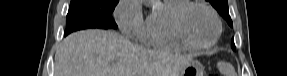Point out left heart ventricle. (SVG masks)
I'll list each match as a JSON object with an SVG mask.
<instances>
[{
	"instance_id": "obj_1",
	"label": "left heart ventricle",
	"mask_w": 287,
	"mask_h": 76,
	"mask_svg": "<svg viewBox=\"0 0 287 76\" xmlns=\"http://www.w3.org/2000/svg\"><path fill=\"white\" fill-rule=\"evenodd\" d=\"M184 29L188 37L195 43L210 42L216 33V24L209 12L194 7L191 8L183 20Z\"/></svg>"
}]
</instances>
